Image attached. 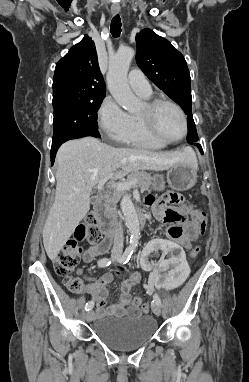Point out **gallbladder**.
I'll return each instance as SVG.
<instances>
[{
    "instance_id": "obj_1",
    "label": "gallbladder",
    "mask_w": 249,
    "mask_h": 382,
    "mask_svg": "<svg viewBox=\"0 0 249 382\" xmlns=\"http://www.w3.org/2000/svg\"><path fill=\"white\" fill-rule=\"evenodd\" d=\"M94 202H95V199H92V200H91V203L93 204Z\"/></svg>"
}]
</instances>
